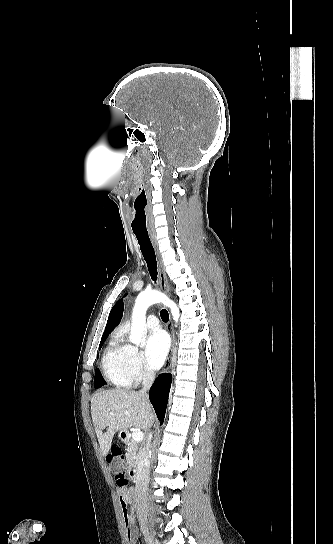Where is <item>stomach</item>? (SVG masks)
<instances>
[{
	"label": "stomach",
	"mask_w": 333,
	"mask_h": 544,
	"mask_svg": "<svg viewBox=\"0 0 333 544\" xmlns=\"http://www.w3.org/2000/svg\"><path fill=\"white\" fill-rule=\"evenodd\" d=\"M121 433H122V432L119 433V438H121Z\"/></svg>",
	"instance_id": "1"
}]
</instances>
